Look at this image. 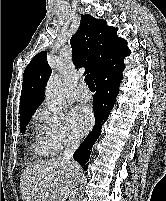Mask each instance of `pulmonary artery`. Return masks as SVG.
<instances>
[{
  "label": "pulmonary artery",
  "instance_id": "obj_1",
  "mask_svg": "<svg viewBox=\"0 0 166 201\" xmlns=\"http://www.w3.org/2000/svg\"><path fill=\"white\" fill-rule=\"evenodd\" d=\"M76 100L80 102H87L91 99L92 95L90 90L85 84H80L74 94Z\"/></svg>",
  "mask_w": 166,
  "mask_h": 201
}]
</instances>
